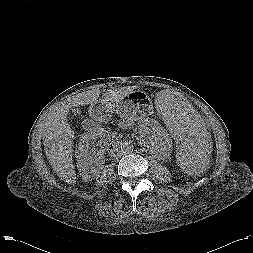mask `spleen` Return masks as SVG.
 Segmentation results:
<instances>
[{
	"label": "spleen",
	"mask_w": 253,
	"mask_h": 253,
	"mask_svg": "<svg viewBox=\"0 0 253 253\" xmlns=\"http://www.w3.org/2000/svg\"><path fill=\"white\" fill-rule=\"evenodd\" d=\"M154 107L160 121L173 134L182 168L193 174L204 171L210 163L213 146L196 105L168 90L157 96Z\"/></svg>",
	"instance_id": "obj_1"
}]
</instances>
